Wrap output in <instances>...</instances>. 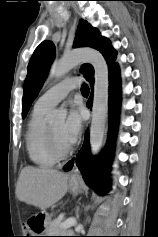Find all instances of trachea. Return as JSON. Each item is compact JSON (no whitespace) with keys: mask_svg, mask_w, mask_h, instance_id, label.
<instances>
[{"mask_svg":"<svg viewBox=\"0 0 158 237\" xmlns=\"http://www.w3.org/2000/svg\"><path fill=\"white\" fill-rule=\"evenodd\" d=\"M81 92H82V94H84V95H88V94H89V87H88L86 84H84V85L81 87Z\"/></svg>","mask_w":158,"mask_h":237,"instance_id":"3493384b","label":"trachea"}]
</instances>
